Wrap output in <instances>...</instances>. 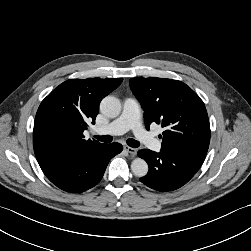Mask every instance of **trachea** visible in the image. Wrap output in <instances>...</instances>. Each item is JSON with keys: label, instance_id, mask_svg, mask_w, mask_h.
<instances>
[{"label": "trachea", "instance_id": "1", "mask_svg": "<svg viewBox=\"0 0 251 251\" xmlns=\"http://www.w3.org/2000/svg\"><path fill=\"white\" fill-rule=\"evenodd\" d=\"M97 140L101 141V142H104V143H110L112 141V137L109 136V135H105V136H94ZM127 144L130 146V147H133V148H137L140 146V142L139 141H136L134 139H127Z\"/></svg>", "mask_w": 251, "mask_h": 251}]
</instances>
